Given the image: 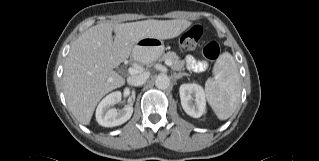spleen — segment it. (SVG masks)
I'll return each instance as SVG.
<instances>
[{
  "label": "spleen",
  "instance_id": "obj_1",
  "mask_svg": "<svg viewBox=\"0 0 319 161\" xmlns=\"http://www.w3.org/2000/svg\"><path fill=\"white\" fill-rule=\"evenodd\" d=\"M214 77L207 80L205 94L209 105L220 120L235 112L241 95V83L234 57L223 53L213 68Z\"/></svg>",
  "mask_w": 319,
  "mask_h": 161
}]
</instances>
